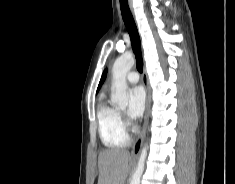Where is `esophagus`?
<instances>
[{"label": "esophagus", "instance_id": "esophagus-1", "mask_svg": "<svg viewBox=\"0 0 235 184\" xmlns=\"http://www.w3.org/2000/svg\"><path fill=\"white\" fill-rule=\"evenodd\" d=\"M128 1H129V6L132 9V1L131 0H128ZM142 81H143V85H144V88L146 91V106H145V112H144V122H143L142 131H141L140 135L138 136V138L136 139L135 144L133 145V149L131 151V156H138L139 155L141 148H142V144H143V140L145 137L146 128H147L148 120H149L150 87H149L148 76H147L145 65L143 67Z\"/></svg>", "mask_w": 235, "mask_h": 184}]
</instances>
